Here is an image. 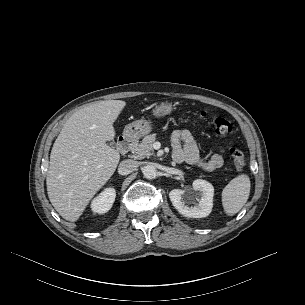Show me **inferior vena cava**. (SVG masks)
<instances>
[{"mask_svg":"<svg viewBox=\"0 0 305 305\" xmlns=\"http://www.w3.org/2000/svg\"><path fill=\"white\" fill-rule=\"evenodd\" d=\"M137 167H138L137 161H135L133 159H126L120 163L118 172L121 175H127V174H130L131 172L135 171Z\"/></svg>","mask_w":305,"mask_h":305,"instance_id":"obj_1","label":"inferior vena cava"}]
</instances>
